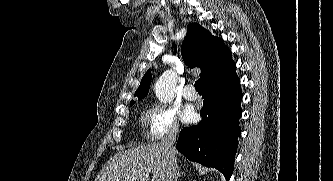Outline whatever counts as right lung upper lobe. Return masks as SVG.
<instances>
[{
    "mask_svg": "<svg viewBox=\"0 0 333 181\" xmlns=\"http://www.w3.org/2000/svg\"><path fill=\"white\" fill-rule=\"evenodd\" d=\"M181 54L190 68L200 67L202 88L215 84L236 71L231 51L225 46L223 40L212 36L197 23H191L188 26ZM150 83L151 72L148 70L135 92L139 100L148 94ZM134 103L132 100L131 105Z\"/></svg>",
    "mask_w": 333,
    "mask_h": 181,
    "instance_id": "obj_1",
    "label": "right lung upper lobe"
}]
</instances>
